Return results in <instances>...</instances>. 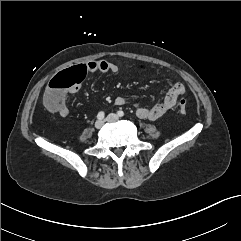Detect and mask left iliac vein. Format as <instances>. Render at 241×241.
Instances as JSON below:
<instances>
[{
    "instance_id": "obj_1",
    "label": "left iliac vein",
    "mask_w": 241,
    "mask_h": 241,
    "mask_svg": "<svg viewBox=\"0 0 241 241\" xmlns=\"http://www.w3.org/2000/svg\"><path fill=\"white\" fill-rule=\"evenodd\" d=\"M106 120L108 122H116L119 120V117L116 114L111 113L106 117Z\"/></svg>"
}]
</instances>
